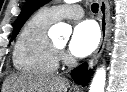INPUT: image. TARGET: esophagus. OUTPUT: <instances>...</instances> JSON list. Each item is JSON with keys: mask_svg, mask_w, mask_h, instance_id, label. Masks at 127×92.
I'll list each match as a JSON object with an SVG mask.
<instances>
[{"mask_svg": "<svg viewBox=\"0 0 127 92\" xmlns=\"http://www.w3.org/2000/svg\"><path fill=\"white\" fill-rule=\"evenodd\" d=\"M99 11H100L101 40L97 50L94 52V54L88 61L89 68H92V66L97 63L99 57L102 54V51L106 44L107 37L109 35L110 12L109 5L105 0H100Z\"/></svg>", "mask_w": 127, "mask_h": 92, "instance_id": "34e87169", "label": "esophagus"}]
</instances>
